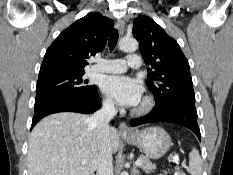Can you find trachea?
<instances>
[{"label": "trachea", "mask_w": 233, "mask_h": 175, "mask_svg": "<svg viewBox=\"0 0 233 175\" xmlns=\"http://www.w3.org/2000/svg\"><path fill=\"white\" fill-rule=\"evenodd\" d=\"M118 37H119V34H118L117 29H113L109 36V48L111 51L114 50L117 44V41H118Z\"/></svg>", "instance_id": "1"}]
</instances>
